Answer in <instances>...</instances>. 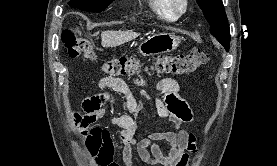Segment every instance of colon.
I'll return each mask as SVG.
<instances>
[{
	"label": "colon",
	"mask_w": 277,
	"mask_h": 166,
	"mask_svg": "<svg viewBox=\"0 0 277 166\" xmlns=\"http://www.w3.org/2000/svg\"><path fill=\"white\" fill-rule=\"evenodd\" d=\"M63 42L70 58L83 56L91 61H97V56L93 50L91 42L87 39L77 38L73 32L64 31ZM210 59V54L201 49H193L187 54L162 55L159 56L153 66V70L158 73L188 74L196 71L206 64ZM101 69L110 77L135 75L141 72L139 60L133 56H121L112 58L101 63ZM77 116V129L84 135L88 133L85 119Z\"/></svg>",
	"instance_id": "1"
}]
</instances>
